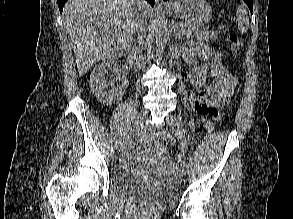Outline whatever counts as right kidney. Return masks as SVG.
Returning a JSON list of instances; mask_svg holds the SVG:
<instances>
[{
    "instance_id": "right-kidney-1",
    "label": "right kidney",
    "mask_w": 293,
    "mask_h": 219,
    "mask_svg": "<svg viewBox=\"0 0 293 219\" xmlns=\"http://www.w3.org/2000/svg\"><path fill=\"white\" fill-rule=\"evenodd\" d=\"M108 72L118 74L122 84L117 87H111L112 83L108 80ZM119 65L114 60H107L99 63L90 75V88L95 97L103 104H112L119 93L127 88L128 82L121 77Z\"/></svg>"
}]
</instances>
